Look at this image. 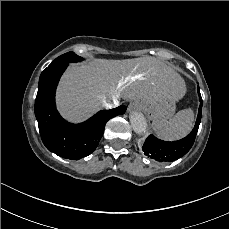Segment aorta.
Here are the masks:
<instances>
[{"label": "aorta", "instance_id": "1", "mask_svg": "<svg viewBox=\"0 0 229 229\" xmlns=\"http://www.w3.org/2000/svg\"><path fill=\"white\" fill-rule=\"evenodd\" d=\"M130 123L136 134H143L147 130V121L142 113L132 112L130 114Z\"/></svg>", "mask_w": 229, "mask_h": 229}]
</instances>
